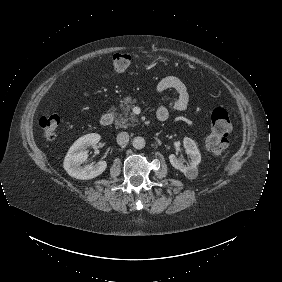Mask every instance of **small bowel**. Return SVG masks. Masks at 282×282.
I'll return each mask as SVG.
<instances>
[{"label": "small bowel", "instance_id": "small-bowel-1", "mask_svg": "<svg viewBox=\"0 0 282 282\" xmlns=\"http://www.w3.org/2000/svg\"><path fill=\"white\" fill-rule=\"evenodd\" d=\"M99 78L108 80L110 75L107 73H101L98 75ZM166 90H174L176 95L170 101L168 106H160L157 109L156 116L158 120L165 121L168 119L171 111L179 112L183 111L188 107L189 94L186 84L176 76H166L162 78L156 85V91L162 93ZM85 96H89L90 92L82 91Z\"/></svg>", "mask_w": 282, "mask_h": 282}]
</instances>
